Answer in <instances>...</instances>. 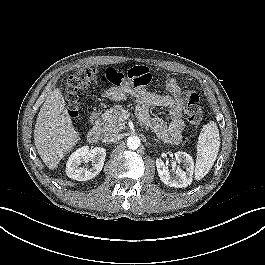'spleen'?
Listing matches in <instances>:
<instances>
[{"mask_svg":"<svg viewBox=\"0 0 265 265\" xmlns=\"http://www.w3.org/2000/svg\"><path fill=\"white\" fill-rule=\"evenodd\" d=\"M220 146V136L217 124L213 121L206 124L198 138L195 179L205 177L217 158Z\"/></svg>","mask_w":265,"mask_h":265,"instance_id":"obj_1","label":"spleen"}]
</instances>
